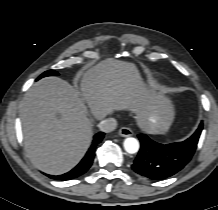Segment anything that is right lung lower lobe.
<instances>
[{
    "label": "right lung lower lobe",
    "mask_w": 218,
    "mask_h": 210,
    "mask_svg": "<svg viewBox=\"0 0 218 210\" xmlns=\"http://www.w3.org/2000/svg\"><path fill=\"white\" fill-rule=\"evenodd\" d=\"M103 137H104L103 132H99L94 136L93 143L91 147L89 148V150L87 151L85 157L71 171L65 174H62V175H58V176H53V175H48V176L50 178L57 179V180H69V179H73V178H76L84 174L91 167L94 156H95L94 154L95 149L97 145L102 141Z\"/></svg>",
    "instance_id": "1"
}]
</instances>
